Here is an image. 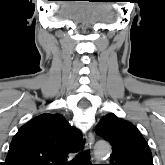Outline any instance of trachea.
<instances>
[{"mask_svg": "<svg viewBox=\"0 0 165 165\" xmlns=\"http://www.w3.org/2000/svg\"><path fill=\"white\" fill-rule=\"evenodd\" d=\"M73 165H90V159H89V152L83 151L81 152L77 158L75 159Z\"/></svg>", "mask_w": 165, "mask_h": 165, "instance_id": "trachea-1", "label": "trachea"}]
</instances>
